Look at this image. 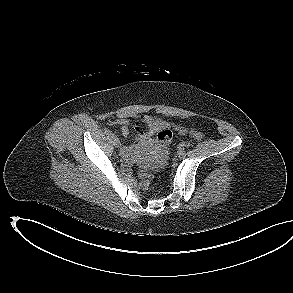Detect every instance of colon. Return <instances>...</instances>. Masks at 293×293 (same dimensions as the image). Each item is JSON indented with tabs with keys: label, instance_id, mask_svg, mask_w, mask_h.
Returning <instances> with one entry per match:
<instances>
[{
	"label": "colon",
	"instance_id": "colon-1",
	"mask_svg": "<svg viewBox=\"0 0 293 293\" xmlns=\"http://www.w3.org/2000/svg\"><path fill=\"white\" fill-rule=\"evenodd\" d=\"M190 135L197 140H202L204 138V134L196 130H191ZM157 138L161 146L166 147L171 143L173 138V133L168 128L162 129L158 132ZM140 176L142 178V181H141L142 189L145 191L150 190L152 188L150 174L146 170H142L140 173Z\"/></svg>",
	"mask_w": 293,
	"mask_h": 293
}]
</instances>
